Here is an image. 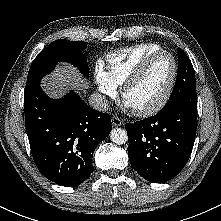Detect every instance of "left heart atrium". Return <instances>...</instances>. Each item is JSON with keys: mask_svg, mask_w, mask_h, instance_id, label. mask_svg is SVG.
<instances>
[{"mask_svg": "<svg viewBox=\"0 0 221 221\" xmlns=\"http://www.w3.org/2000/svg\"><path fill=\"white\" fill-rule=\"evenodd\" d=\"M124 106H125L126 109H133L126 101H125Z\"/></svg>", "mask_w": 221, "mask_h": 221, "instance_id": "obj_1", "label": "left heart atrium"}]
</instances>
